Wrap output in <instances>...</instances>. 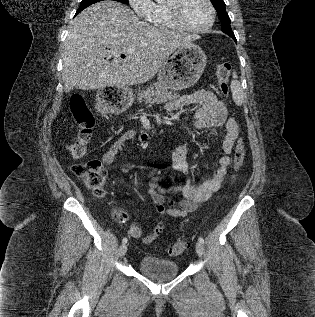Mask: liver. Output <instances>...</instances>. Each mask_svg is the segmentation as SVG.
Listing matches in <instances>:
<instances>
[{
	"label": "liver",
	"mask_w": 315,
	"mask_h": 317,
	"mask_svg": "<svg viewBox=\"0 0 315 317\" xmlns=\"http://www.w3.org/2000/svg\"><path fill=\"white\" fill-rule=\"evenodd\" d=\"M196 39V35L155 28L121 3H96L69 25L62 54L64 91L144 83L172 53ZM121 53L126 58L121 59Z\"/></svg>",
	"instance_id": "6515ba94"
}]
</instances>
